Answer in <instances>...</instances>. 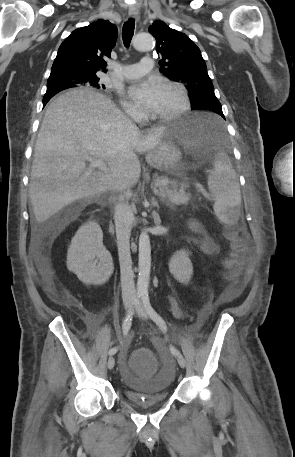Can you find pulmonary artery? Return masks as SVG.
Masks as SVG:
<instances>
[{
    "label": "pulmonary artery",
    "mask_w": 295,
    "mask_h": 457,
    "mask_svg": "<svg viewBox=\"0 0 295 457\" xmlns=\"http://www.w3.org/2000/svg\"><path fill=\"white\" fill-rule=\"evenodd\" d=\"M154 61L150 56H145L139 63L123 65L119 69V75L126 80L140 77L153 69Z\"/></svg>",
    "instance_id": "e3ab8cb5"
}]
</instances>
